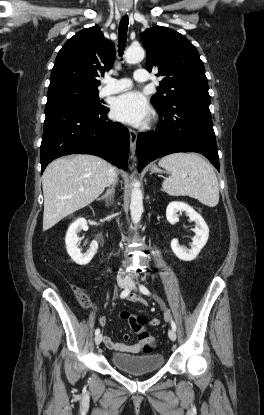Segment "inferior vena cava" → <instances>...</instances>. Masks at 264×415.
<instances>
[{
    "mask_svg": "<svg viewBox=\"0 0 264 415\" xmlns=\"http://www.w3.org/2000/svg\"><path fill=\"white\" fill-rule=\"evenodd\" d=\"M115 177H116V171H115L114 167H110V170H109V179H108L109 184H114L115 183ZM119 273L120 274H124L125 272H123L122 270H120Z\"/></svg>",
    "mask_w": 264,
    "mask_h": 415,
    "instance_id": "inferior-vena-cava-1",
    "label": "inferior vena cava"
}]
</instances>
